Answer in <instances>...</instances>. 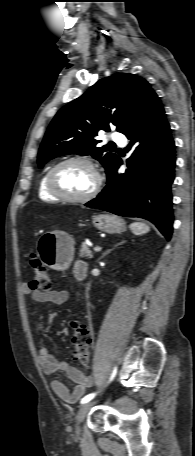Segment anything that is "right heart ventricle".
<instances>
[{
  "label": "right heart ventricle",
  "instance_id": "e07e8e85",
  "mask_svg": "<svg viewBox=\"0 0 195 456\" xmlns=\"http://www.w3.org/2000/svg\"><path fill=\"white\" fill-rule=\"evenodd\" d=\"M49 170H47L39 180L38 195H39L40 199H42L43 201L53 202V201H57L58 199L48 191V188L46 185V179H47Z\"/></svg>",
  "mask_w": 195,
  "mask_h": 456
}]
</instances>
